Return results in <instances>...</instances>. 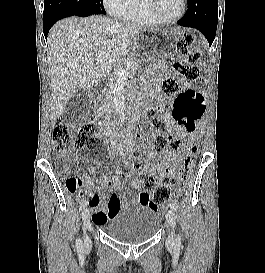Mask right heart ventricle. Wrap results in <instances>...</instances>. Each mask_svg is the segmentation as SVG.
I'll return each instance as SVG.
<instances>
[{"label": "right heart ventricle", "instance_id": "obj_1", "mask_svg": "<svg viewBox=\"0 0 265 273\" xmlns=\"http://www.w3.org/2000/svg\"><path fill=\"white\" fill-rule=\"evenodd\" d=\"M118 17L144 25H157L147 8L146 0H128Z\"/></svg>", "mask_w": 265, "mask_h": 273}]
</instances>
